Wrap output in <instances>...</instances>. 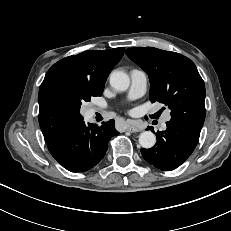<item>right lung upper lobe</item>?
Listing matches in <instances>:
<instances>
[{
  "mask_svg": "<svg viewBox=\"0 0 231 231\" xmlns=\"http://www.w3.org/2000/svg\"><path fill=\"white\" fill-rule=\"evenodd\" d=\"M123 54L124 48L85 51L58 61L48 70L38 95V118L45 142L83 121L81 114L68 102V95L78 87L103 89L109 73Z\"/></svg>",
  "mask_w": 231,
  "mask_h": 231,
  "instance_id": "cb5924a9",
  "label": "right lung upper lobe"
}]
</instances>
